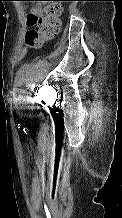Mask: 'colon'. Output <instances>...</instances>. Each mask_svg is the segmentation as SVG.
Returning a JSON list of instances; mask_svg holds the SVG:
<instances>
[{"label":"colon","mask_w":122,"mask_h":218,"mask_svg":"<svg viewBox=\"0 0 122 218\" xmlns=\"http://www.w3.org/2000/svg\"><path fill=\"white\" fill-rule=\"evenodd\" d=\"M25 1H43L48 4L42 15L30 12L27 15V25L36 26V29H30L26 33L25 42L30 47H39L44 42L54 39L60 31V15L62 7L57 0H25Z\"/></svg>","instance_id":"colon-1"}]
</instances>
